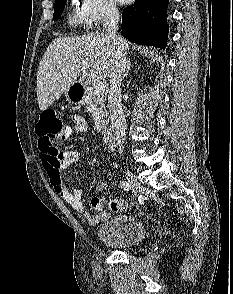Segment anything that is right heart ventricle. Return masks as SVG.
<instances>
[{
	"instance_id": "e07e8e85",
	"label": "right heart ventricle",
	"mask_w": 233,
	"mask_h": 294,
	"mask_svg": "<svg viewBox=\"0 0 233 294\" xmlns=\"http://www.w3.org/2000/svg\"><path fill=\"white\" fill-rule=\"evenodd\" d=\"M68 23L71 27H74V28L79 26H86L85 20L82 14L80 13L79 9L72 10V12L70 13L68 17Z\"/></svg>"
}]
</instances>
